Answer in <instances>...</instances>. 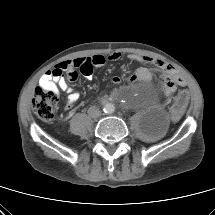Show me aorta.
Here are the masks:
<instances>
[{
  "instance_id": "obj_1",
  "label": "aorta",
  "mask_w": 215,
  "mask_h": 215,
  "mask_svg": "<svg viewBox=\"0 0 215 215\" xmlns=\"http://www.w3.org/2000/svg\"><path fill=\"white\" fill-rule=\"evenodd\" d=\"M115 111V106L112 104V103H107L105 106H104V112L105 113H108V114H111Z\"/></svg>"
}]
</instances>
